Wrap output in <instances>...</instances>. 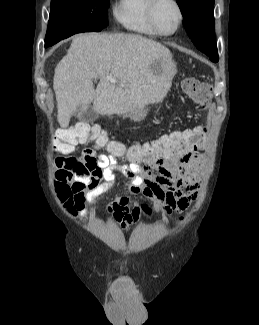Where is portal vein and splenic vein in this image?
I'll list each match as a JSON object with an SVG mask.
<instances>
[{"label": "portal vein and splenic vein", "mask_w": 259, "mask_h": 325, "mask_svg": "<svg viewBox=\"0 0 259 325\" xmlns=\"http://www.w3.org/2000/svg\"><path fill=\"white\" fill-rule=\"evenodd\" d=\"M106 78H107L108 80L112 81V82H115V80L112 79V77H110V76H106Z\"/></svg>", "instance_id": "portal-vein-and-splenic-vein-1"}]
</instances>
